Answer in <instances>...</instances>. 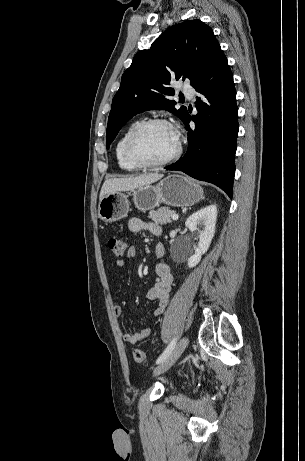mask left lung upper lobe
I'll list each match as a JSON object with an SVG mask.
<instances>
[{"instance_id":"5c2ea615","label":"left lung upper lobe","mask_w":305,"mask_h":461,"mask_svg":"<svg viewBox=\"0 0 305 461\" xmlns=\"http://www.w3.org/2000/svg\"><path fill=\"white\" fill-rule=\"evenodd\" d=\"M220 45L210 27L200 20H189L162 33L148 50L136 54L121 78L108 118L106 145L109 147L119 129L136 114L164 109L182 121L186 107L176 109L170 97L171 80L189 79L194 86L216 60Z\"/></svg>"}]
</instances>
